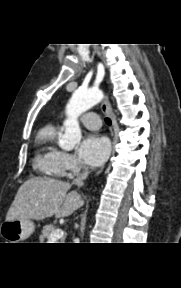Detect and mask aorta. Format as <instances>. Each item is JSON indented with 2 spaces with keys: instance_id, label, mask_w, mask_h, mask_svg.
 <instances>
[{
  "instance_id": "obj_1",
  "label": "aorta",
  "mask_w": 181,
  "mask_h": 288,
  "mask_svg": "<svg viewBox=\"0 0 181 288\" xmlns=\"http://www.w3.org/2000/svg\"><path fill=\"white\" fill-rule=\"evenodd\" d=\"M103 97L98 89L76 90L66 107L67 119L64 122L65 132L59 140V145L65 150H71L80 143L82 134L78 123V117Z\"/></svg>"
}]
</instances>
